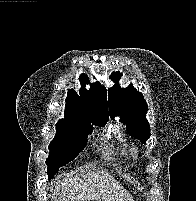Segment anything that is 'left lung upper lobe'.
<instances>
[{
  "instance_id": "1",
  "label": "left lung upper lobe",
  "mask_w": 196,
  "mask_h": 201,
  "mask_svg": "<svg viewBox=\"0 0 196 201\" xmlns=\"http://www.w3.org/2000/svg\"><path fill=\"white\" fill-rule=\"evenodd\" d=\"M121 75L113 72L110 76L113 82H117L108 89L110 117L114 119L115 116H120V122L127 124V131L145 143L150 137V125L146 119L147 103L143 94L131 85L123 89L119 86Z\"/></svg>"
}]
</instances>
